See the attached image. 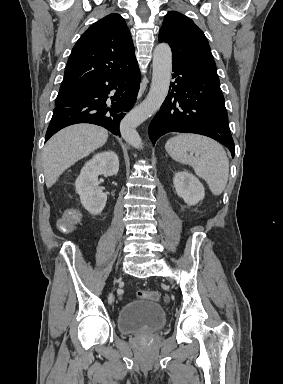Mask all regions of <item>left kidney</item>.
Listing matches in <instances>:
<instances>
[{
  "instance_id": "5707ae66",
  "label": "left kidney",
  "mask_w": 283,
  "mask_h": 384,
  "mask_svg": "<svg viewBox=\"0 0 283 384\" xmlns=\"http://www.w3.org/2000/svg\"><path fill=\"white\" fill-rule=\"evenodd\" d=\"M174 188L178 196L183 198L184 202L189 204V206H195V204H198L200 200L205 198V190L201 182L193 174H189L187 170L175 174Z\"/></svg>"
}]
</instances>
